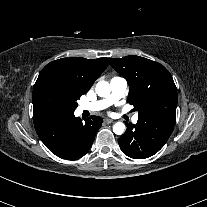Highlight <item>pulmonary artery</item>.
<instances>
[{
    "label": "pulmonary artery",
    "mask_w": 207,
    "mask_h": 207,
    "mask_svg": "<svg viewBox=\"0 0 207 207\" xmlns=\"http://www.w3.org/2000/svg\"><path fill=\"white\" fill-rule=\"evenodd\" d=\"M111 94L99 101H95L92 103H87L79 106L78 112L82 113L83 111H100L103 110L113 103H115L117 100L122 98L126 92L127 89V81L120 77V76H114L111 81ZM139 120V117L137 115L132 117V122L137 123Z\"/></svg>",
    "instance_id": "obj_1"
}]
</instances>
